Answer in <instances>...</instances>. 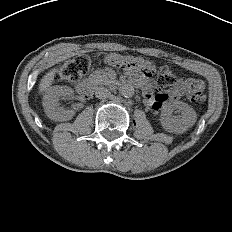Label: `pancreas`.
I'll return each instance as SVG.
<instances>
[{
	"mask_svg": "<svg viewBox=\"0 0 232 232\" xmlns=\"http://www.w3.org/2000/svg\"><path fill=\"white\" fill-rule=\"evenodd\" d=\"M103 79L106 81L108 80V78L106 77V75L103 76Z\"/></svg>",
	"mask_w": 232,
	"mask_h": 232,
	"instance_id": "1",
	"label": "pancreas"
}]
</instances>
